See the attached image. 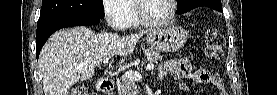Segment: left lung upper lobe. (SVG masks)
<instances>
[{"label": "left lung upper lobe", "mask_w": 277, "mask_h": 95, "mask_svg": "<svg viewBox=\"0 0 277 95\" xmlns=\"http://www.w3.org/2000/svg\"><path fill=\"white\" fill-rule=\"evenodd\" d=\"M177 2V14H182L202 6L222 12L221 0H177Z\"/></svg>", "instance_id": "5c2ea615"}]
</instances>
